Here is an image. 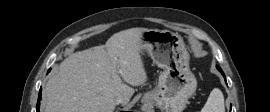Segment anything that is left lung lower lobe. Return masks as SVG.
<instances>
[{
	"label": "left lung lower lobe",
	"mask_w": 270,
	"mask_h": 112,
	"mask_svg": "<svg viewBox=\"0 0 270 112\" xmlns=\"http://www.w3.org/2000/svg\"><path fill=\"white\" fill-rule=\"evenodd\" d=\"M217 69L221 72V74H222V75L224 76V78H225V75H224L222 69H221L219 66H217ZM230 112H231V110H230Z\"/></svg>",
	"instance_id": "left-lung-lower-lobe-1"
}]
</instances>
